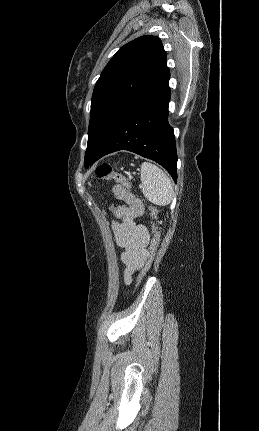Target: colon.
<instances>
[{
  "label": "colon",
  "mask_w": 259,
  "mask_h": 431,
  "mask_svg": "<svg viewBox=\"0 0 259 431\" xmlns=\"http://www.w3.org/2000/svg\"><path fill=\"white\" fill-rule=\"evenodd\" d=\"M96 175L100 179L114 181L116 183L113 188L115 196L118 199L126 202L122 204L119 203L112 208L111 214L115 215L117 219L137 220L147 212V207L131 192V185L129 181L121 173L113 170L109 164L103 163L99 165L96 169ZM150 217L152 239L149 245L146 264L138 276V286L142 283L148 271L150 270L159 246V232L155 222L157 210L153 207L150 208Z\"/></svg>",
  "instance_id": "colon-1"
}]
</instances>
